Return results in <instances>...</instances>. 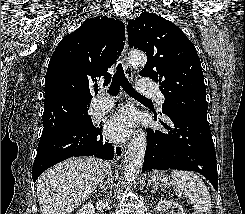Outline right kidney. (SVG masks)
Segmentation results:
<instances>
[{
	"label": "right kidney",
	"instance_id": "ca27d5eb",
	"mask_svg": "<svg viewBox=\"0 0 245 214\" xmlns=\"http://www.w3.org/2000/svg\"><path fill=\"white\" fill-rule=\"evenodd\" d=\"M77 214H95L94 207L91 203H86L79 209Z\"/></svg>",
	"mask_w": 245,
	"mask_h": 214
}]
</instances>
